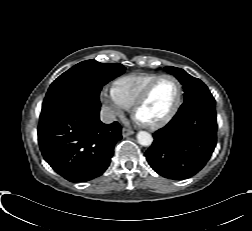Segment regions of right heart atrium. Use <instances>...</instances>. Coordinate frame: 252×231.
<instances>
[{
  "instance_id": "obj_1",
  "label": "right heart atrium",
  "mask_w": 252,
  "mask_h": 231,
  "mask_svg": "<svg viewBox=\"0 0 252 231\" xmlns=\"http://www.w3.org/2000/svg\"><path fill=\"white\" fill-rule=\"evenodd\" d=\"M100 100L105 107V113L108 119L114 120L121 118L129 110L128 106L116 93L114 87L104 90L101 93Z\"/></svg>"
}]
</instances>
